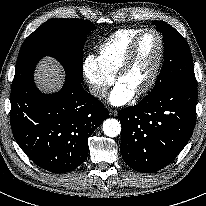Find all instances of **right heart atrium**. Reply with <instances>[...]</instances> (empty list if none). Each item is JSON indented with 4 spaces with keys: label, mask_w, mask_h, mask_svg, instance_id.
Listing matches in <instances>:
<instances>
[{
    "label": "right heart atrium",
    "mask_w": 206,
    "mask_h": 206,
    "mask_svg": "<svg viewBox=\"0 0 206 206\" xmlns=\"http://www.w3.org/2000/svg\"><path fill=\"white\" fill-rule=\"evenodd\" d=\"M83 74L88 82L90 93L97 99L104 98L114 82V76L107 73L94 56L84 59Z\"/></svg>",
    "instance_id": "right-heart-atrium-1"
}]
</instances>
